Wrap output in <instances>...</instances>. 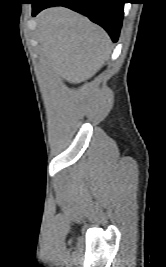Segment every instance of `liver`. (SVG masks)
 <instances>
[{"instance_id":"1","label":"liver","mask_w":166,"mask_h":267,"mask_svg":"<svg viewBox=\"0 0 166 267\" xmlns=\"http://www.w3.org/2000/svg\"><path fill=\"white\" fill-rule=\"evenodd\" d=\"M37 21L43 56L69 83L91 78L109 59L112 47L108 34L88 18L54 7L43 11Z\"/></svg>"}]
</instances>
